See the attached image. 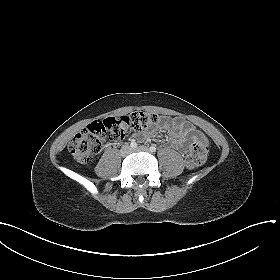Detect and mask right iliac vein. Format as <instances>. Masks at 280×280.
<instances>
[{
  "label": "right iliac vein",
  "instance_id": "1",
  "mask_svg": "<svg viewBox=\"0 0 280 280\" xmlns=\"http://www.w3.org/2000/svg\"><path fill=\"white\" fill-rule=\"evenodd\" d=\"M131 152V148L128 145H125L121 149L122 155H127Z\"/></svg>",
  "mask_w": 280,
  "mask_h": 280
}]
</instances>
